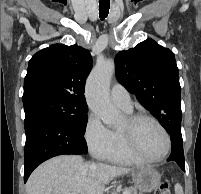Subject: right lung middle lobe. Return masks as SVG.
<instances>
[{
    "mask_svg": "<svg viewBox=\"0 0 201 194\" xmlns=\"http://www.w3.org/2000/svg\"><path fill=\"white\" fill-rule=\"evenodd\" d=\"M23 105L25 113L30 110L49 113L72 126L81 136L85 133L88 120V108L85 105L53 96L35 98Z\"/></svg>",
    "mask_w": 201,
    "mask_h": 194,
    "instance_id": "dd1d6c3e",
    "label": "right lung middle lobe"
}]
</instances>
